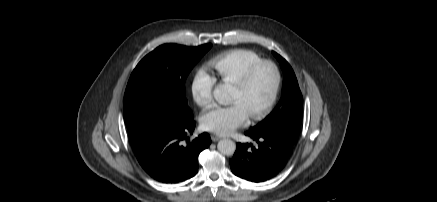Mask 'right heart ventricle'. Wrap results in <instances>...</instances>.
Segmentation results:
<instances>
[{"instance_id": "right-heart-ventricle-1", "label": "right heart ventricle", "mask_w": 437, "mask_h": 202, "mask_svg": "<svg viewBox=\"0 0 437 202\" xmlns=\"http://www.w3.org/2000/svg\"><path fill=\"white\" fill-rule=\"evenodd\" d=\"M261 60L260 56L247 49H233L218 54L210 59L208 66L223 83L233 84L253 63Z\"/></svg>"}]
</instances>
